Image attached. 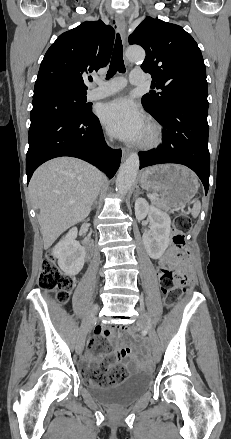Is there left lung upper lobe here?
I'll return each mask as SVG.
<instances>
[{
  "label": "left lung upper lobe",
  "instance_id": "1",
  "mask_svg": "<svg viewBox=\"0 0 231 439\" xmlns=\"http://www.w3.org/2000/svg\"><path fill=\"white\" fill-rule=\"evenodd\" d=\"M129 44L141 45L146 58L141 65L151 74L152 91L142 97L150 114H159L174 100L195 97L207 99L206 67L201 51L181 26L147 17L129 36Z\"/></svg>",
  "mask_w": 231,
  "mask_h": 439
}]
</instances>
